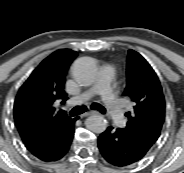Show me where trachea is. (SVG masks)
Segmentation results:
<instances>
[{"label":"trachea","mask_w":184,"mask_h":173,"mask_svg":"<svg viewBox=\"0 0 184 173\" xmlns=\"http://www.w3.org/2000/svg\"><path fill=\"white\" fill-rule=\"evenodd\" d=\"M91 109H94V110H98L100 111L101 113H104L105 112V109L103 106H101L100 104L98 103H92L91 104ZM85 107L84 106H76L74 107L71 111H70V115L71 116H76V115H79V114H82L85 112Z\"/></svg>","instance_id":"trachea-1"}]
</instances>
